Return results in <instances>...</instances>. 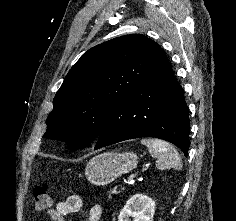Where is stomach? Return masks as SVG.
Listing matches in <instances>:
<instances>
[{"mask_svg": "<svg viewBox=\"0 0 236 221\" xmlns=\"http://www.w3.org/2000/svg\"><path fill=\"white\" fill-rule=\"evenodd\" d=\"M137 164L138 157L133 152H106L93 157L87 163L85 175L91 184L104 186L130 172Z\"/></svg>", "mask_w": 236, "mask_h": 221, "instance_id": "obj_1", "label": "stomach"}]
</instances>
